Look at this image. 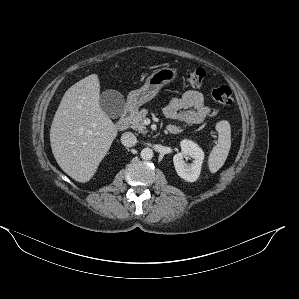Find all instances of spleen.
I'll use <instances>...</instances> for the list:
<instances>
[{"label":"spleen","mask_w":299,"mask_h":299,"mask_svg":"<svg viewBox=\"0 0 299 299\" xmlns=\"http://www.w3.org/2000/svg\"><path fill=\"white\" fill-rule=\"evenodd\" d=\"M218 143L208 157V167L211 173L217 172L225 163L231 147V127L228 121L222 120L216 124Z\"/></svg>","instance_id":"1"}]
</instances>
